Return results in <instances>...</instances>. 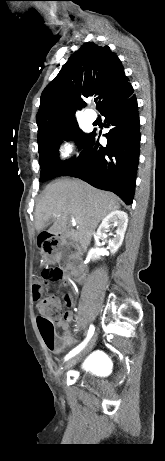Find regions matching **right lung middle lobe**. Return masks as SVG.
Returning <instances> with one entry per match:
<instances>
[{
	"instance_id": "obj_1",
	"label": "right lung middle lobe",
	"mask_w": 165,
	"mask_h": 461,
	"mask_svg": "<svg viewBox=\"0 0 165 461\" xmlns=\"http://www.w3.org/2000/svg\"><path fill=\"white\" fill-rule=\"evenodd\" d=\"M90 134L83 133L75 120L63 124L59 128L47 132L38 139L40 182H45L58 174L72 161L60 162L58 159L59 144L63 140L74 139L77 143H84Z\"/></svg>"
}]
</instances>
